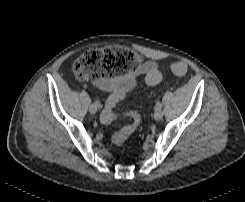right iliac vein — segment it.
<instances>
[{
    "instance_id": "63e3f726",
    "label": "right iliac vein",
    "mask_w": 245,
    "mask_h": 202,
    "mask_svg": "<svg viewBox=\"0 0 245 202\" xmlns=\"http://www.w3.org/2000/svg\"><path fill=\"white\" fill-rule=\"evenodd\" d=\"M97 109H98V107H97L94 103H92V104L89 106V112H90L91 114H95V113L97 112Z\"/></svg>"
}]
</instances>
